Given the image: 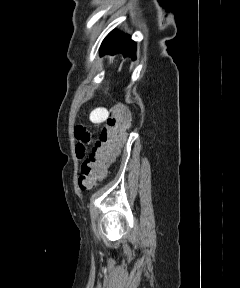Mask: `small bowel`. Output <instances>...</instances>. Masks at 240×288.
Masks as SVG:
<instances>
[{
    "label": "small bowel",
    "instance_id": "small-bowel-1",
    "mask_svg": "<svg viewBox=\"0 0 240 288\" xmlns=\"http://www.w3.org/2000/svg\"><path fill=\"white\" fill-rule=\"evenodd\" d=\"M109 116V110L106 107L94 108L89 114V121L93 125L104 123ZM75 138L77 140L76 153L81 158L85 153V148L93 143V136L83 125L75 127Z\"/></svg>",
    "mask_w": 240,
    "mask_h": 288
}]
</instances>
